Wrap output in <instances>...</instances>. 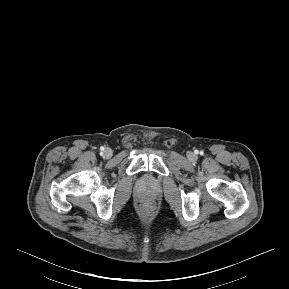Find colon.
Returning <instances> with one entry per match:
<instances>
[{
  "label": "colon",
  "mask_w": 289,
  "mask_h": 289,
  "mask_svg": "<svg viewBox=\"0 0 289 289\" xmlns=\"http://www.w3.org/2000/svg\"><path fill=\"white\" fill-rule=\"evenodd\" d=\"M143 211H144V213L145 214H150L151 212H152V209H151V207L150 206H145L144 208H143Z\"/></svg>",
  "instance_id": "5ec220e1"
}]
</instances>
